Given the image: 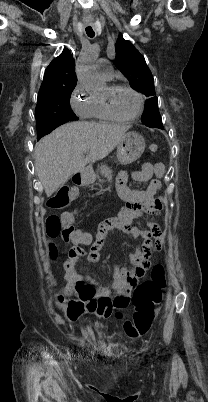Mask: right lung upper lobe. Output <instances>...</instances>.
<instances>
[{"label":"right lung upper lobe","mask_w":208,"mask_h":402,"mask_svg":"<svg viewBox=\"0 0 208 402\" xmlns=\"http://www.w3.org/2000/svg\"><path fill=\"white\" fill-rule=\"evenodd\" d=\"M76 82L74 59L70 51L65 48L46 68L38 96L50 90L74 86Z\"/></svg>","instance_id":"obj_1"}]
</instances>
